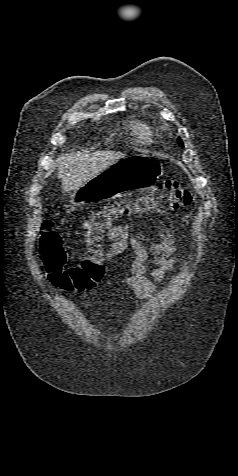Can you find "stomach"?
Returning a JSON list of instances; mask_svg holds the SVG:
<instances>
[{
  "label": "stomach",
  "mask_w": 238,
  "mask_h": 476,
  "mask_svg": "<svg viewBox=\"0 0 238 476\" xmlns=\"http://www.w3.org/2000/svg\"><path fill=\"white\" fill-rule=\"evenodd\" d=\"M162 167L153 156H125L98 175L70 192L75 206L119 195H132L133 190H149L150 183L160 179Z\"/></svg>",
  "instance_id": "0dacf381"
}]
</instances>
